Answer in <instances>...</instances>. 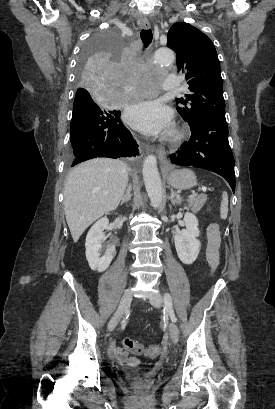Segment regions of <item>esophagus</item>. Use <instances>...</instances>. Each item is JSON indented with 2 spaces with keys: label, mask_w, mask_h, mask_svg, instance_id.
I'll use <instances>...</instances> for the list:
<instances>
[{
  "label": "esophagus",
  "mask_w": 275,
  "mask_h": 409,
  "mask_svg": "<svg viewBox=\"0 0 275 409\" xmlns=\"http://www.w3.org/2000/svg\"><path fill=\"white\" fill-rule=\"evenodd\" d=\"M140 28H142L143 30H149V28H150V23H149V21H148V19L145 17V18H142V20H141V23H140ZM146 148H147V150H148V146H145ZM155 150H156V152H157V154H158V156H159V158L160 159H166V150H165V147H163L162 145H158L156 148H155Z\"/></svg>",
  "instance_id": "1"
}]
</instances>
